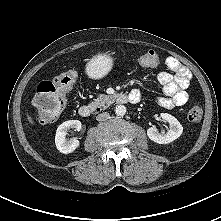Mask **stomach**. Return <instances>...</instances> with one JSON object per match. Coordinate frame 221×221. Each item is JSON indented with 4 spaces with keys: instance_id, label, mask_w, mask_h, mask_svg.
Here are the masks:
<instances>
[{
    "instance_id": "stomach-1",
    "label": "stomach",
    "mask_w": 221,
    "mask_h": 221,
    "mask_svg": "<svg viewBox=\"0 0 221 221\" xmlns=\"http://www.w3.org/2000/svg\"><path fill=\"white\" fill-rule=\"evenodd\" d=\"M113 67V58L109 52L96 53L86 65V73L93 79L105 77Z\"/></svg>"
}]
</instances>
